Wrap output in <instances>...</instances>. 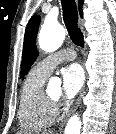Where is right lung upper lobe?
Wrapping results in <instances>:
<instances>
[{
    "label": "right lung upper lobe",
    "mask_w": 116,
    "mask_h": 134,
    "mask_svg": "<svg viewBox=\"0 0 116 134\" xmlns=\"http://www.w3.org/2000/svg\"><path fill=\"white\" fill-rule=\"evenodd\" d=\"M82 5H83V0H79V12H80V15L82 16Z\"/></svg>",
    "instance_id": "1"
}]
</instances>
